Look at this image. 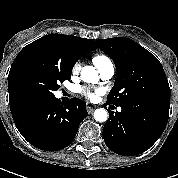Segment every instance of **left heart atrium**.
<instances>
[{
	"mask_svg": "<svg viewBox=\"0 0 178 178\" xmlns=\"http://www.w3.org/2000/svg\"><path fill=\"white\" fill-rule=\"evenodd\" d=\"M78 92H79L82 96H84L85 98H87V99H89V100L94 99V98H95V95L98 94V91L93 92V91H91L90 89L82 88V87H80V88L78 89Z\"/></svg>",
	"mask_w": 178,
	"mask_h": 178,
	"instance_id": "39dd6f15",
	"label": "left heart atrium"
}]
</instances>
